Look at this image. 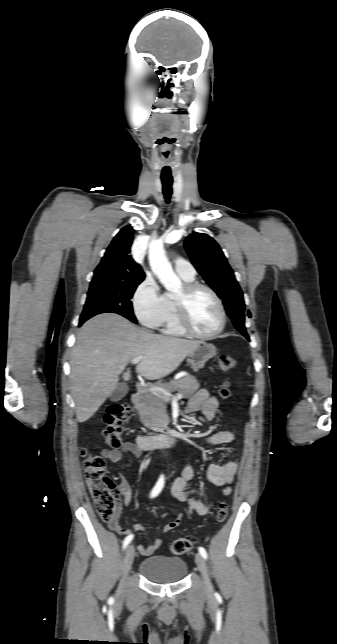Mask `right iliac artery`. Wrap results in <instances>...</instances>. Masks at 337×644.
Returning a JSON list of instances; mask_svg holds the SVG:
<instances>
[{
    "label": "right iliac artery",
    "instance_id": "right-iliac-artery-1",
    "mask_svg": "<svg viewBox=\"0 0 337 644\" xmlns=\"http://www.w3.org/2000/svg\"><path fill=\"white\" fill-rule=\"evenodd\" d=\"M163 486H164V476H163V475H161V476H160V478L158 479V481H157L156 485H155V486H154V488L152 489L151 494H150V497H151V498L156 497V496L161 492V490H162ZM132 539H133V535H129V536H127V537L124 539V541H123V548H124V549H125V548L127 547V545L132 541Z\"/></svg>",
    "mask_w": 337,
    "mask_h": 644
}]
</instances>
